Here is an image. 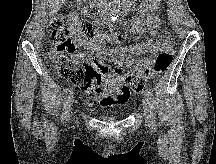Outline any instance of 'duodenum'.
<instances>
[{"label":"duodenum","instance_id":"410a0bca","mask_svg":"<svg viewBox=\"0 0 216 164\" xmlns=\"http://www.w3.org/2000/svg\"><path fill=\"white\" fill-rule=\"evenodd\" d=\"M127 3H131L132 0H126ZM126 6H129L130 4H125ZM92 10L96 11L99 14L98 21L99 22H105L108 17L106 6L100 2H96L92 5Z\"/></svg>","mask_w":216,"mask_h":164}]
</instances>
